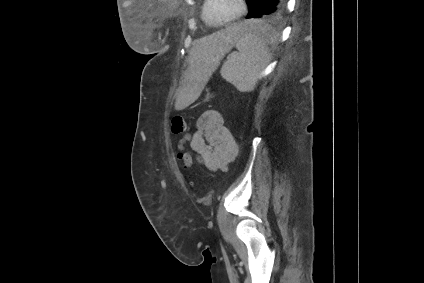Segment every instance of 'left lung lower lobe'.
Listing matches in <instances>:
<instances>
[{"mask_svg":"<svg viewBox=\"0 0 424 283\" xmlns=\"http://www.w3.org/2000/svg\"><path fill=\"white\" fill-rule=\"evenodd\" d=\"M286 1L287 0H258L255 13L250 17L247 16L246 18H261L269 16L278 11L280 8H284ZM269 38L273 40L271 36Z\"/></svg>","mask_w":424,"mask_h":283,"instance_id":"left-lung-lower-lobe-1","label":"left lung lower lobe"}]
</instances>
